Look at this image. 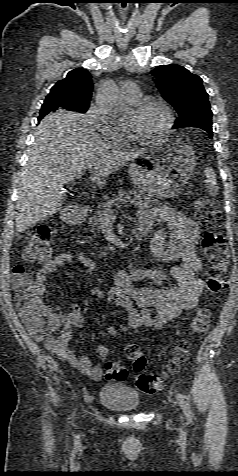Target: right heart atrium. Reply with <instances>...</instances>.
I'll list each match as a JSON object with an SVG mask.
<instances>
[{
  "mask_svg": "<svg viewBox=\"0 0 238 476\" xmlns=\"http://www.w3.org/2000/svg\"><path fill=\"white\" fill-rule=\"evenodd\" d=\"M87 117L96 130L110 141H119L125 135V128L110 123L96 104L89 106Z\"/></svg>",
  "mask_w": 238,
  "mask_h": 476,
  "instance_id": "d8ad5b80",
  "label": "right heart atrium"
}]
</instances>
